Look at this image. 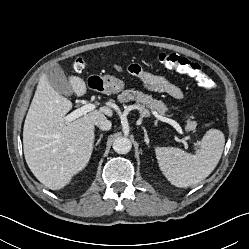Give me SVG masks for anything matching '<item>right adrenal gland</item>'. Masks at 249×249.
I'll list each match as a JSON object with an SVG mask.
<instances>
[{
    "mask_svg": "<svg viewBox=\"0 0 249 249\" xmlns=\"http://www.w3.org/2000/svg\"><path fill=\"white\" fill-rule=\"evenodd\" d=\"M102 137H103V134H101V135L99 136V139H98L97 142H96V146L100 143Z\"/></svg>",
    "mask_w": 249,
    "mask_h": 249,
    "instance_id": "obj_1",
    "label": "right adrenal gland"
}]
</instances>
